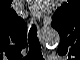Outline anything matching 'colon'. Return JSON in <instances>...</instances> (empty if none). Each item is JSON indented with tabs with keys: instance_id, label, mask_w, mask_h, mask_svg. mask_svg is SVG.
I'll return each mask as SVG.
<instances>
[{
	"instance_id": "colon-1",
	"label": "colon",
	"mask_w": 80,
	"mask_h": 60,
	"mask_svg": "<svg viewBox=\"0 0 80 60\" xmlns=\"http://www.w3.org/2000/svg\"><path fill=\"white\" fill-rule=\"evenodd\" d=\"M41 55H37L35 58H39Z\"/></svg>"
}]
</instances>
